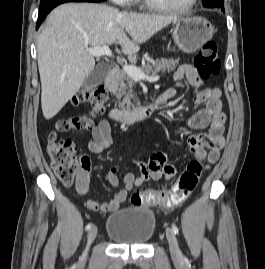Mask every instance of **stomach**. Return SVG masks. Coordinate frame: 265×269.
I'll return each instance as SVG.
<instances>
[{
	"instance_id": "0dacf381",
	"label": "stomach",
	"mask_w": 265,
	"mask_h": 269,
	"mask_svg": "<svg viewBox=\"0 0 265 269\" xmlns=\"http://www.w3.org/2000/svg\"><path fill=\"white\" fill-rule=\"evenodd\" d=\"M173 39L179 50L193 53L214 34V27L203 17H180L173 21Z\"/></svg>"
}]
</instances>
